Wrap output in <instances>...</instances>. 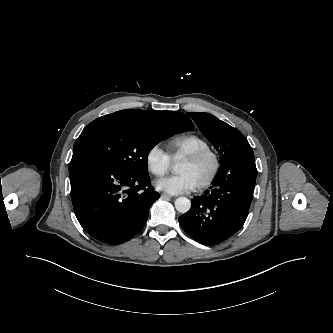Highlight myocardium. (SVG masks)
I'll use <instances>...</instances> for the list:
<instances>
[{"mask_svg": "<svg viewBox=\"0 0 333 333\" xmlns=\"http://www.w3.org/2000/svg\"><path fill=\"white\" fill-rule=\"evenodd\" d=\"M183 160L189 163H199L204 160H210L211 162L210 171L207 177L196 186L198 190H202L210 186L214 181V179L216 178L220 169V159L218 155L211 149H203L194 152L192 154L185 156Z\"/></svg>", "mask_w": 333, "mask_h": 333, "instance_id": "1", "label": "myocardium"}]
</instances>
